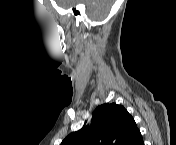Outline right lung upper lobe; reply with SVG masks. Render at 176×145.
Instances as JSON below:
<instances>
[{
  "label": "right lung upper lobe",
  "mask_w": 176,
  "mask_h": 145,
  "mask_svg": "<svg viewBox=\"0 0 176 145\" xmlns=\"http://www.w3.org/2000/svg\"><path fill=\"white\" fill-rule=\"evenodd\" d=\"M61 145H143V141L128 111L106 103L95 109L89 127L70 133Z\"/></svg>",
  "instance_id": "cb5924a9"
}]
</instances>
